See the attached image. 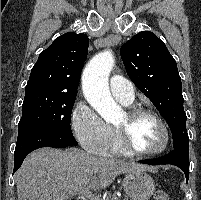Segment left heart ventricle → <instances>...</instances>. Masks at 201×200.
<instances>
[{"label":"left heart ventricle","mask_w":201,"mask_h":200,"mask_svg":"<svg viewBox=\"0 0 201 200\" xmlns=\"http://www.w3.org/2000/svg\"><path fill=\"white\" fill-rule=\"evenodd\" d=\"M128 124L127 115L117 126ZM130 140L133 146L141 151L157 149L163 142V133L159 125L150 117H142L130 126Z\"/></svg>","instance_id":"1"}]
</instances>
